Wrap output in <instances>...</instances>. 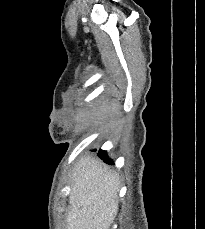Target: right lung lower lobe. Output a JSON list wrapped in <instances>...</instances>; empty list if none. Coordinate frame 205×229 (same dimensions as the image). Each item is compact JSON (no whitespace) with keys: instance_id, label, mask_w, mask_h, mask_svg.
<instances>
[{"instance_id":"right-lung-lower-lobe-1","label":"right lung lower lobe","mask_w":205,"mask_h":229,"mask_svg":"<svg viewBox=\"0 0 205 229\" xmlns=\"http://www.w3.org/2000/svg\"><path fill=\"white\" fill-rule=\"evenodd\" d=\"M98 156H99L101 159H103L106 163H108V164H113V163H112V160H110V159L107 157L106 151L100 150L99 153H98Z\"/></svg>"}]
</instances>
